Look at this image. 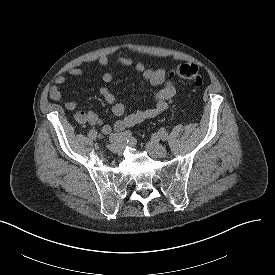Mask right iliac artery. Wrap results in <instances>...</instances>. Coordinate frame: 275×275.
I'll list each match as a JSON object with an SVG mask.
<instances>
[{
	"label": "right iliac artery",
	"instance_id": "right-iliac-artery-1",
	"mask_svg": "<svg viewBox=\"0 0 275 275\" xmlns=\"http://www.w3.org/2000/svg\"><path fill=\"white\" fill-rule=\"evenodd\" d=\"M88 136L90 139H96L97 138V132L96 130H90L88 133ZM131 137V132L130 131H125L122 133L118 134H112L109 138L111 142H121V141H126Z\"/></svg>",
	"mask_w": 275,
	"mask_h": 275
}]
</instances>
